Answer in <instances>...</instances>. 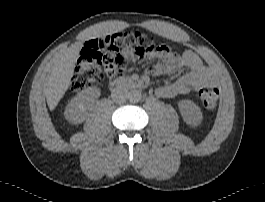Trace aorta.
I'll list each match as a JSON object with an SVG mask.
<instances>
[{
    "label": "aorta",
    "mask_w": 265,
    "mask_h": 202,
    "mask_svg": "<svg viewBox=\"0 0 265 202\" xmlns=\"http://www.w3.org/2000/svg\"><path fill=\"white\" fill-rule=\"evenodd\" d=\"M141 97H142V94L139 90H131L129 92L128 99L130 102L135 103V102H139L141 100Z\"/></svg>",
    "instance_id": "aorta-1"
}]
</instances>
